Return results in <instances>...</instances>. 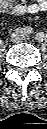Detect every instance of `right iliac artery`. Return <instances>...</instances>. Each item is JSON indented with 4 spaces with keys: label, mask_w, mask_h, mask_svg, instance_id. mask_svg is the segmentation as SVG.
<instances>
[{
    "label": "right iliac artery",
    "mask_w": 47,
    "mask_h": 129,
    "mask_svg": "<svg viewBox=\"0 0 47 129\" xmlns=\"http://www.w3.org/2000/svg\"><path fill=\"white\" fill-rule=\"evenodd\" d=\"M25 32L28 33V34L32 33V28L31 27H26Z\"/></svg>",
    "instance_id": "right-iliac-artery-1"
}]
</instances>
